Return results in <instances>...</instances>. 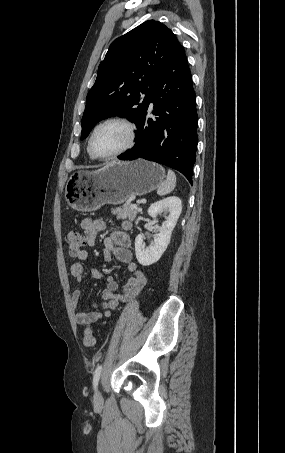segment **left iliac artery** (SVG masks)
<instances>
[{
    "mask_svg": "<svg viewBox=\"0 0 285 453\" xmlns=\"http://www.w3.org/2000/svg\"><path fill=\"white\" fill-rule=\"evenodd\" d=\"M101 371H102V365H99L95 372H94V376H93V386L94 388L96 389L97 385H98V382H99V379H100V375H101Z\"/></svg>",
    "mask_w": 285,
    "mask_h": 453,
    "instance_id": "obj_1",
    "label": "left iliac artery"
}]
</instances>
